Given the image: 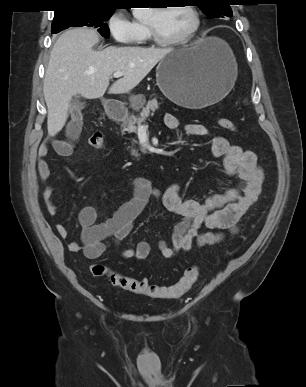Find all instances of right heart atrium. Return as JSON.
I'll return each mask as SVG.
<instances>
[{
    "label": "right heart atrium",
    "mask_w": 306,
    "mask_h": 387,
    "mask_svg": "<svg viewBox=\"0 0 306 387\" xmlns=\"http://www.w3.org/2000/svg\"><path fill=\"white\" fill-rule=\"evenodd\" d=\"M107 28L115 42L128 45L137 42L139 28L123 11H116L107 20Z\"/></svg>",
    "instance_id": "obj_1"
}]
</instances>
